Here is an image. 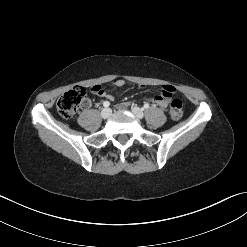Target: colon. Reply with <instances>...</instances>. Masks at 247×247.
Masks as SVG:
<instances>
[{
    "label": "colon",
    "mask_w": 247,
    "mask_h": 247,
    "mask_svg": "<svg viewBox=\"0 0 247 247\" xmlns=\"http://www.w3.org/2000/svg\"><path fill=\"white\" fill-rule=\"evenodd\" d=\"M96 88H101L97 85ZM86 91L83 87H73L64 93L57 101L56 107L58 113L65 119L72 118L83 104ZM172 94L171 88L156 87L154 89V96L158 101L163 102L165 96ZM141 97L144 95L142 92L139 94ZM170 116L173 120L181 119L183 115V103L180 99H173L170 103Z\"/></svg>",
    "instance_id": "1"
}]
</instances>
